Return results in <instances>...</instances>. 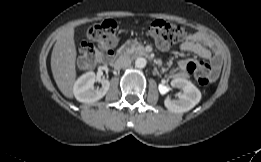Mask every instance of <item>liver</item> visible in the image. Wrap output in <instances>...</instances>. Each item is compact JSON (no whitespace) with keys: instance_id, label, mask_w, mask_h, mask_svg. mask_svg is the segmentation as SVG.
Listing matches in <instances>:
<instances>
[{"instance_id":"1","label":"liver","mask_w":261,"mask_h":162,"mask_svg":"<svg viewBox=\"0 0 261 162\" xmlns=\"http://www.w3.org/2000/svg\"><path fill=\"white\" fill-rule=\"evenodd\" d=\"M76 46L74 27H68L57 35L51 55V70L54 80L67 98H73V84L76 80Z\"/></svg>"}]
</instances>
